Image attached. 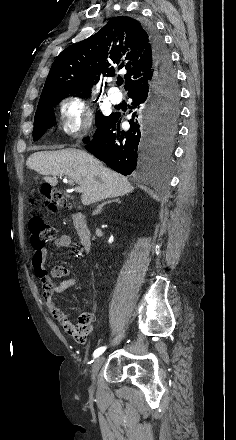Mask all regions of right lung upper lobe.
Wrapping results in <instances>:
<instances>
[{
    "mask_svg": "<svg viewBox=\"0 0 236 440\" xmlns=\"http://www.w3.org/2000/svg\"><path fill=\"white\" fill-rule=\"evenodd\" d=\"M115 69L126 71L128 93L155 78L148 33L135 19L112 18L96 34L63 50L52 64L40 100L63 93H89L97 76H113Z\"/></svg>",
    "mask_w": 236,
    "mask_h": 440,
    "instance_id": "right-lung-upper-lobe-1",
    "label": "right lung upper lobe"
}]
</instances>
